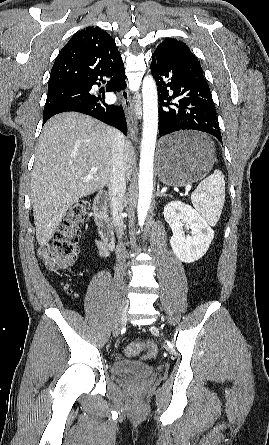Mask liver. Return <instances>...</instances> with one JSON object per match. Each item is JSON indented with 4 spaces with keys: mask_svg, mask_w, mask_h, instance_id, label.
I'll return each mask as SVG.
<instances>
[{
    "mask_svg": "<svg viewBox=\"0 0 269 445\" xmlns=\"http://www.w3.org/2000/svg\"><path fill=\"white\" fill-rule=\"evenodd\" d=\"M109 126L76 112L46 122L36 148L31 198L40 246L54 236L67 210L81 198L109 185L112 178V135ZM135 154L124 145L125 175L132 173ZM97 168L96 174L89 170Z\"/></svg>",
    "mask_w": 269,
    "mask_h": 445,
    "instance_id": "1",
    "label": "liver"
}]
</instances>
